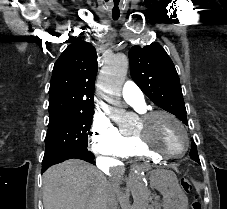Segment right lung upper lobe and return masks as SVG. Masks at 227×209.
<instances>
[{
  "instance_id": "cb5924a9",
  "label": "right lung upper lobe",
  "mask_w": 227,
  "mask_h": 209,
  "mask_svg": "<svg viewBox=\"0 0 227 209\" xmlns=\"http://www.w3.org/2000/svg\"><path fill=\"white\" fill-rule=\"evenodd\" d=\"M97 74L95 48L84 41L69 45L56 61L49 89V109L58 100L82 98L93 100Z\"/></svg>"
}]
</instances>
